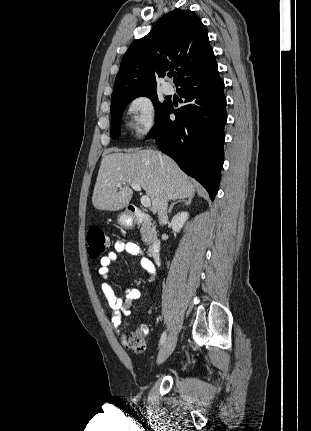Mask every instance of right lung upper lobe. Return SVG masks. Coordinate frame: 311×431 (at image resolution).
<instances>
[{
  "label": "right lung upper lobe",
  "instance_id": "right-lung-upper-lobe-1",
  "mask_svg": "<svg viewBox=\"0 0 311 431\" xmlns=\"http://www.w3.org/2000/svg\"><path fill=\"white\" fill-rule=\"evenodd\" d=\"M213 67L217 64L206 27L194 12L177 9L130 45L115 78L112 99L154 91L155 75L164 77L169 69L177 71L174 83L181 86Z\"/></svg>",
  "mask_w": 311,
  "mask_h": 431
}]
</instances>
